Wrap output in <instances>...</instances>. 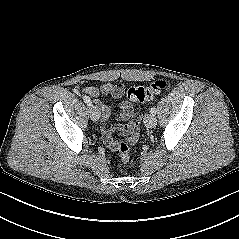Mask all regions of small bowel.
Returning a JSON list of instances; mask_svg holds the SVG:
<instances>
[{
  "mask_svg": "<svg viewBox=\"0 0 239 239\" xmlns=\"http://www.w3.org/2000/svg\"><path fill=\"white\" fill-rule=\"evenodd\" d=\"M81 92L89 95L93 99L96 108L101 111L100 130L103 141L109 148H116L117 142L114 140V134L127 136L131 144L136 143L139 123L135 122L137 115L131 105L128 102L120 103L119 119L126 121V123L114 127L108 123L111 116L110 107L99 100L101 96L106 95L114 99L121 98L124 95V86L122 84L105 83L100 87L88 86L83 88Z\"/></svg>",
  "mask_w": 239,
  "mask_h": 239,
  "instance_id": "small-bowel-1",
  "label": "small bowel"
}]
</instances>
